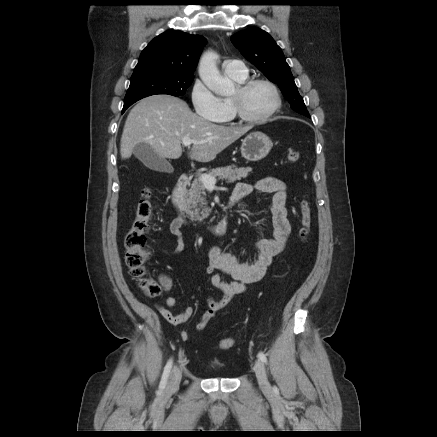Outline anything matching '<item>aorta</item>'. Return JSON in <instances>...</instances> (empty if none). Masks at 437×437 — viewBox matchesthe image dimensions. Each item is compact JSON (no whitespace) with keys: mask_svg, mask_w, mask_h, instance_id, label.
<instances>
[{"mask_svg":"<svg viewBox=\"0 0 437 437\" xmlns=\"http://www.w3.org/2000/svg\"><path fill=\"white\" fill-rule=\"evenodd\" d=\"M217 59L218 55L215 52H205L199 62V76L203 83L215 94L227 96L234 92V83L220 74Z\"/></svg>","mask_w":437,"mask_h":437,"instance_id":"1","label":"aorta"}]
</instances>
